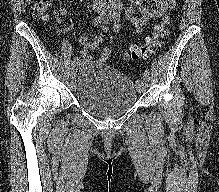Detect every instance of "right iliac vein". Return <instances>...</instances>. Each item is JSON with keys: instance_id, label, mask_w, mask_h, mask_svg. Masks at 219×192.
I'll use <instances>...</instances> for the list:
<instances>
[{"instance_id": "obj_1", "label": "right iliac vein", "mask_w": 219, "mask_h": 192, "mask_svg": "<svg viewBox=\"0 0 219 192\" xmlns=\"http://www.w3.org/2000/svg\"><path fill=\"white\" fill-rule=\"evenodd\" d=\"M70 77H71L72 80H74L75 77H76V70L74 68L70 72Z\"/></svg>"}]
</instances>
